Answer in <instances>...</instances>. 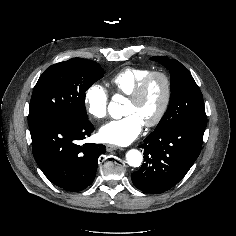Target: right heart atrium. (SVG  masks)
Instances as JSON below:
<instances>
[{"mask_svg":"<svg viewBox=\"0 0 236 236\" xmlns=\"http://www.w3.org/2000/svg\"><path fill=\"white\" fill-rule=\"evenodd\" d=\"M109 95L106 89L99 83L90 85L84 93V105L88 114L100 120L106 117L108 112Z\"/></svg>","mask_w":236,"mask_h":236,"instance_id":"obj_1","label":"right heart atrium"}]
</instances>
